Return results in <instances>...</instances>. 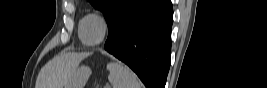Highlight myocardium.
I'll return each instance as SVG.
<instances>
[{"mask_svg": "<svg viewBox=\"0 0 267 88\" xmlns=\"http://www.w3.org/2000/svg\"><path fill=\"white\" fill-rule=\"evenodd\" d=\"M89 18H95L97 19L101 26H102V35L101 37L95 41V42H88L85 38V34H84V28H85V23L86 21L89 19ZM107 32H108V26H107V22L105 20L104 17H102L101 15H98V14H89L86 18H85V21L83 23V26H82V30H81V38H82V41L84 44L88 45V46H96V45H99L101 44L104 39L106 38V35H107Z\"/></svg>", "mask_w": 267, "mask_h": 88, "instance_id": "1", "label": "myocardium"}]
</instances>
